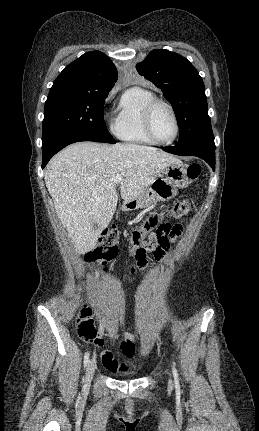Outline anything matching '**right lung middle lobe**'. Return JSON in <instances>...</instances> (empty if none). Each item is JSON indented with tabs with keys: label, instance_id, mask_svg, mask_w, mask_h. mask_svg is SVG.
Listing matches in <instances>:
<instances>
[{
	"label": "right lung middle lobe",
	"instance_id": "dd1d6c3e",
	"mask_svg": "<svg viewBox=\"0 0 259 431\" xmlns=\"http://www.w3.org/2000/svg\"><path fill=\"white\" fill-rule=\"evenodd\" d=\"M107 95L108 92L50 91L45 102L42 142L62 132H79L102 142L115 143L103 117Z\"/></svg>",
	"mask_w": 259,
	"mask_h": 431
}]
</instances>
